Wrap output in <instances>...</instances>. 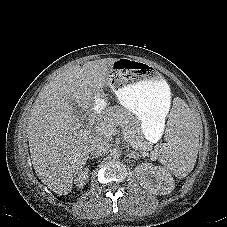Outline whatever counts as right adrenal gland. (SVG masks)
Wrapping results in <instances>:
<instances>
[{
    "label": "right adrenal gland",
    "mask_w": 227,
    "mask_h": 227,
    "mask_svg": "<svg viewBox=\"0 0 227 227\" xmlns=\"http://www.w3.org/2000/svg\"><path fill=\"white\" fill-rule=\"evenodd\" d=\"M94 158H95V157H93V156H92V157H91V156L89 157V159H94Z\"/></svg>",
    "instance_id": "obj_1"
}]
</instances>
